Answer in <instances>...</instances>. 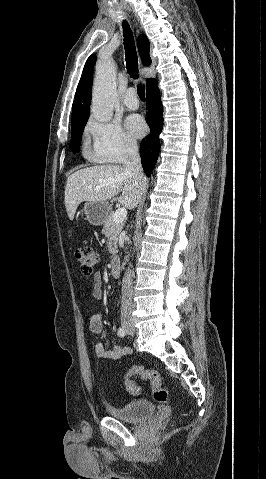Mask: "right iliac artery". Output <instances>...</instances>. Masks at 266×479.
<instances>
[{
  "instance_id": "1",
  "label": "right iliac artery",
  "mask_w": 266,
  "mask_h": 479,
  "mask_svg": "<svg viewBox=\"0 0 266 479\" xmlns=\"http://www.w3.org/2000/svg\"><path fill=\"white\" fill-rule=\"evenodd\" d=\"M118 336L120 337H124L126 335V329L122 326L118 329V332H117Z\"/></svg>"
}]
</instances>
